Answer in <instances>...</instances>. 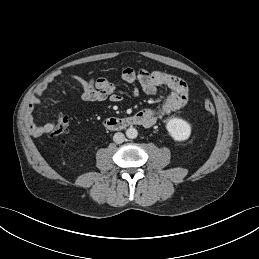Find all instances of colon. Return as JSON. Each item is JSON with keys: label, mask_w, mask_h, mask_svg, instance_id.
<instances>
[{"label": "colon", "mask_w": 259, "mask_h": 259, "mask_svg": "<svg viewBox=\"0 0 259 259\" xmlns=\"http://www.w3.org/2000/svg\"><path fill=\"white\" fill-rule=\"evenodd\" d=\"M204 108L209 114L215 113V106L210 101H205ZM70 127V117L68 115H61L51 132L52 136H59L65 134Z\"/></svg>", "instance_id": "1"}]
</instances>
